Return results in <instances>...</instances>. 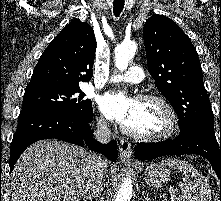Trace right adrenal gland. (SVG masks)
Returning <instances> with one entry per match:
<instances>
[{
    "label": "right adrenal gland",
    "instance_id": "1",
    "mask_svg": "<svg viewBox=\"0 0 221 201\" xmlns=\"http://www.w3.org/2000/svg\"><path fill=\"white\" fill-rule=\"evenodd\" d=\"M93 195L92 194H88L87 196L83 197V201H92Z\"/></svg>",
    "mask_w": 221,
    "mask_h": 201
}]
</instances>
